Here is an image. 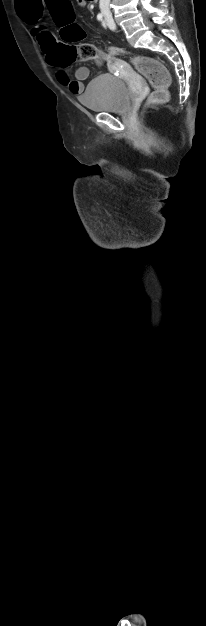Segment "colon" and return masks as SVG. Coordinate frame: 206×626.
Segmentation results:
<instances>
[{
	"label": "colon",
	"mask_w": 206,
	"mask_h": 626,
	"mask_svg": "<svg viewBox=\"0 0 206 626\" xmlns=\"http://www.w3.org/2000/svg\"><path fill=\"white\" fill-rule=\"evenodd\" d=\"M55 23L61 28V37L66 43L58 44L54 50L53 62L57 66H67L76 61L100 62L108 54L125 56L123 50L110 47L103 50L92 43L71 44L84 38L83 29L75 23V13L70 0H46ZM131 61L136 70L143 75L153 87L147 105H157L166 102L167 88L170 77L165 66L158 60L150 57L133 56Z\"/></svg>",
	"instance_id": "colon-1"
}]
</instances>
